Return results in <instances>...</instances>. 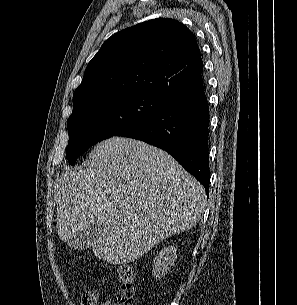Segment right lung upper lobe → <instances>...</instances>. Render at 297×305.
Here are the masks:
<instances>
[{
    "instance_id": "right-lung-upper-lobe-1",
    "label": "right lung upper lobe",
    "mask_w": 297,
    "mask_h": 305,
    "mask_svg": "<svg viewBox=\"0 0 297 305\" xmlns=\"http://www.w3.org/2000/svg\"><path fill=\"white\" fill-rule=\"evenodd\" d=\"M203 62L193 33L170 18L124 29L101 46L73 95V110L125 93L166 99L203 86Z\"/></svg>"
}]
</instances>
